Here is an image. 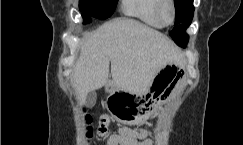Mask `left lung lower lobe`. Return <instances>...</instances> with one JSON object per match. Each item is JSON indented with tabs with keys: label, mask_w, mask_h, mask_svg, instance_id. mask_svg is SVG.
Here are the masks:
<instances>
[{
	"label": "left lung lower lobe",
	"mask_w": 243,
	"mask_h": 145,
	"mask_svg": "<svg viewBox=\"0 0 243 145\" xmlns=\"http://www.w3.org/2000/svg\"><path fill=\"white\" fill-rule=\"evenodd\" d=\"M187 42L188 41H186L185 43L180 44L179 46L186 47Z\"/></svg>",
	"instance_id": "left-lung-lower-lobe-1"
}]
</instances>
